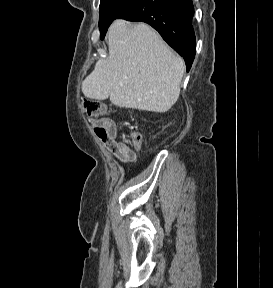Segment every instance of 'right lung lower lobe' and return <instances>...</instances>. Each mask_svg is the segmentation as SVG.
<instances>
[{
  "label": "right lung lower lobe",
  "instance_id": "1",
  "mask_svg": "<svg viewBox=\"0 0 273 288\" xmlns=\"http://www.w3.org/2000/svg\"><path fill=\"white\" fill-rule=\"evenodd\" d=\"M193 15L192 0H137L119 18L150 24L184 58L189 71L196 52Z\"/></svg>",
  "mask_w": 273,
  "mask_h": 288
}]
</instances>
